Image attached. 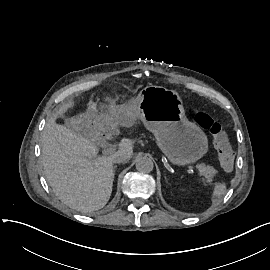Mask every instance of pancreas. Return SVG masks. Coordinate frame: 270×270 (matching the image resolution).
Wrapping results in <instances>:
<instances>
[{"label":"pancreas","mask_w":270,"mask_h":270,"mask_svg":"<svg viewBox=\"0 0 270 270\" xmlns=\"http://www.w3.org/2000/svg\"><path fill=\"white\" fill-rule=\"evenodd\" d=\"M198 169L202 176L205 178V182L211 183L212 182V176L217 173V170L213 166H204L199 165Z\"/></svg>","instance_id":"obj_1"}]
</instances>
